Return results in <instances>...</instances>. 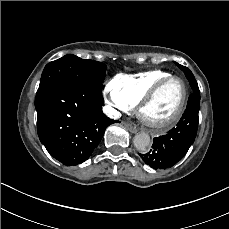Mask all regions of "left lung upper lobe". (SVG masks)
Segmentation results:
<instances>
[{
    "mask_svg": "<svg viewBox=\"0 0 229 229\" xmlns=\"http://www.w3.org/2000/svg\"><path fill=\"white\" fill-rule=\"evenodd\" d=\"M184 73L188 71L189 69L185 66L179 65L178 63L174 62Z\"/></svg>",
    "mask_w": 229,
    "mask_h": 229,
    "instance_id": "left-lung-upper-lobe-1",
    "label": "left lung upper lobe"
}]
</instances>
